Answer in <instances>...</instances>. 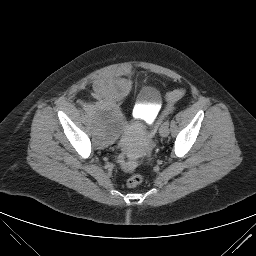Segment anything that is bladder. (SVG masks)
Here are the masks:
<instances>
[{
    "label": "bladder",
    "mask_w": 256,
    "mask_h": 256,
    "mask_svg": "<svg viewBox=\"0 0 256 256\" xmlns=\"http://www.w3.org/2000/svg\"><path fill=\"white\" fill-rule=\"evenodd\" d=\"M98 92L107 97L113 94H124L128 89L126 80H101ZM143 108L161 103L160 91L153 86H146L140 92ZM89 114L94 127L95 138L103 147L116 142L122 135L123 117L118 106L109 99H103L89 105Z\"/></svg>",
    "instance_id": "1"
}]
</instances>
